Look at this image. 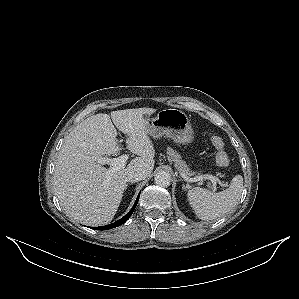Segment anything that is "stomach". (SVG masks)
Wrapping results in <instances>:
<instances>
[{
	"label": "stomach",
	"instance_id": "0dacf381",
	"mask_svg": "<svg viewBox=\"0 0 299 299\" xmlns=\"http://www.w3.org/2000/svg\"><path fill=\"white\" fill-rule=\"evenodd\" d=\"M148 135L167 136L174 142L188 144L194 140V131L188 116L178 109H163L154 118L147 119Z\"/></svg>",
	"mask_w": 299,
	"mask_h": 299
}]
</instances>
